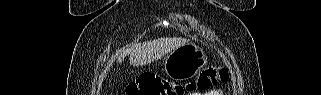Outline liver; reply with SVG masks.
Returning <instances> with one entry per match:
<instances>
[{"label":"liver","mask_w":321,"mask_h":95,"mask_svg":"<svg viewBox=\"0 0 321 95\" xmlns=\"http://www.w3.org/2000/svg\"><path fill=\"white\" fill-rule=\"evenodd\" d=\"M188 42L185 38H159L149 42L137 43L126 50L117 53V63H121L124 57L129 54L132 66H143L154 60L160 59L176 48Z\"/></svg>","instance_id":"liver-1"}]
</instances>
